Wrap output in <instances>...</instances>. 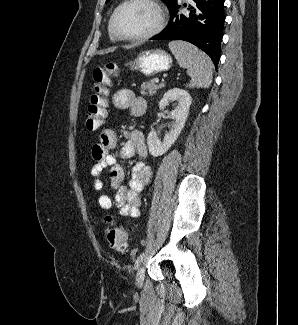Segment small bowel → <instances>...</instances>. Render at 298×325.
Masks as SVG:
<instances>
[{
  "mask_svg": "<svg viewBox=\"0 0 298 325\" xmlns=\"http://www.w3.org/2000/svg\"><path fill=\"white\" fill-rule=\"evenodd\" d=\"M113 101L119 109L130 108L135 116L141 115L139 111L142 108L146 110L145 101L136 98L129 89L118 90L113 96ZM123 133L127 142L120 149V157L135 158L128 185L123 184L124 172L117 158L109 152L118 142V133L112 128L103 130L99 142L92 147V158L95 163L91 168V175L94 179V189L100 192L104 187L101 175L108 169L110 184L115 190L113 198L105 194L99 195L98 203L102 209L115 208L121 216L135 218L140 214L141 192L150 181L151 170L145 161L147 148L142 132L132 130Z\"/></svg>",
  "mask_w": 298,
  "mask_h": 325,
  "instance_id": "1",
  "label": "small bowel"
}]
</instances>
